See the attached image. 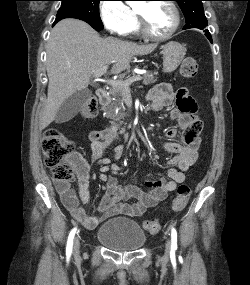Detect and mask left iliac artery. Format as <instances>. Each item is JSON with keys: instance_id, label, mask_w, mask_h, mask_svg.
<instances>
[{"instance_id": "44dca946", "label": "left iliac artery", "mask_w": 250, "mask_h": 285, "mask_svg": "<svg viewBox=\"0 0 250 285\" xmlns=\"http://www.w3.org/2000/svg\"><path fill=\"white\" fill-rule=\"evenodd\" d=\"M171 248L172 250L177 249V231L175 228L171 230Z\"/></svg>"}]
</instances>
